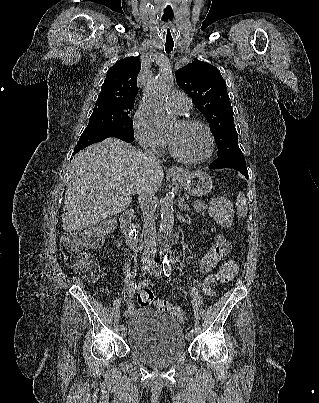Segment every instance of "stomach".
Listing matches in <instances>:
<instances>
[{
  "label": "stomach",
  "mask_w": 319,
  "mask_h": 403,
  "mask_svg": "<svg viewBox=\"0 0 319 403\" xmlns=\"http://www.w3.org/2000/svg\"><path fill=\"white\" fill-rule=\"evenodd\" d=\"M175 178L181 183L184 190L194 197L207 195L213 187L211 177L207 173L201 171H184L181 174L176 175Z\"/></svg>",
  "instance_id": "0dacf381"
}]
</instances>
